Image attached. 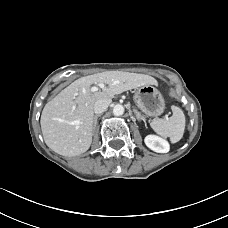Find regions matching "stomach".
Wrapping results in <instances>:
<instances>
[{"instance_id": "0dacf381", "label": "stomach", "mask_w": 228, "mask_h": 228, "mask_svg": "<svg viewBox=\"0 0 228 228\" xmlns=\"http://www.w3.org/2000/svg\"><path fill=\"white\" fill-rule=\"evenodd\" d=\"M134 102L147 116H159L165 109V101L162 94L154 85L150 84L137 89L134 95Z\"/></svg>"}]
</instances>
